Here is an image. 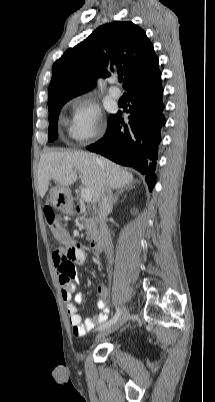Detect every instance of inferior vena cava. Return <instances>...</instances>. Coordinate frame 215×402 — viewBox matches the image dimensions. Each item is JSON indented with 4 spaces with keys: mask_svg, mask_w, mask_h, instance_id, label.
I'll list each match as a JSON object with an SVG mask.
<instances>
[{
    "mask_svg": "<svg viewBox=\"0 0 215 402\" xmlns=\"http://www.w3.org/2000/svg\"><path fill=\"white\" fill-rule=\"evenodd\" d=\"M112 206H113L112 191L108 183L105 182L102 188L100 199L98 201V221L100 227V234L102 236V239L104 240L107 257L110 263H112L113 261V252H112V242L106 225V218L107 215L112 211Z\"/></svg>",
    "mask_w": 215,
    "mask_h": 402,
    "instance_id": "obj_1",
    "label": "inferior vena cava"
}]
</instances>
